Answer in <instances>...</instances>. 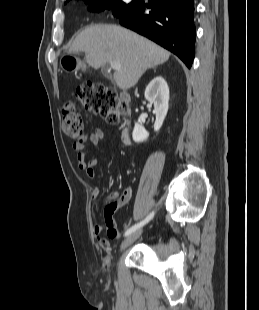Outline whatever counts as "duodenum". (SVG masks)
I'll list each match as a JSON object with an SVG mask.
<instances>
[{"instance_id": "1", "label": "duodenum", "mask_w": 259, "mask_h": 310, "mask_svg": "<svg viewBox=\"0 0 259 310\" xmlns=\"http://www.w3.org/2000/svg\"><path fill=\"white\" fill-rule=\"evenodd\" d=\"M124 100L125 101H127L128 100V97H124ZM123 139H124V141L126 142V143H128L129 142V136L125 133L124 135H123Z\"/></svg>"}]
</instances>
